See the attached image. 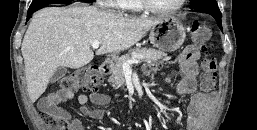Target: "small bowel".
<instances>
[{
    "mask_svg": "<svg viewBox=\"0 0 257 130\" xmlns=\"http://www.w3.org/2000/svg\"><path fill=\"white\" fill-rule=\"evenodd\" d=\"M199 51L194 46L186 47L178 56L177 62L181 72V78L176 84V92L179 95H191L187 107V125L183 130H200L204 125L212 97L197 92V75ZM159 69V64L152 63L146 67V72H154ZM172 77L166 78L171 82ZM63 98L57 93H49L40 101L41 109H49L65 115L70 121L69 130H85L81 116H88L94 119H101L104 116L103 107L110 102V96L103 93L81 94L78 97L79 115L71 117L68 112L58 107ZM93 103L96 107H89Z\"/></svg>",
    "mask_w": 257,
    "mask_h": 130,
    "instance_id": "c3829d8e",
    "label": "small bowel"
}]
</instances>
